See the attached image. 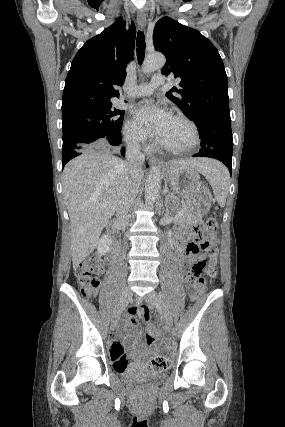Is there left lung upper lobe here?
Returning a JSON list of instances; mask_svg holds the SVG:
<instances>
[{"label":"left lung upper lobe","mask_w":285,"mask_h":427,"mask_svg":"<svg viewBox=\"0 0 285 427\" xmlns=\"http://www.w3.org/2000/svg\"><path fill=\"white\" fill-rule=\"evenodd\" d=\"M153 44L167 58L161 72L181 80L166 96L189 119L195 122L209 114L230 117L224 64L206 37L165 16L155 24Z\"/></svg>","instance_id":"obj_1"}]
</instances>
